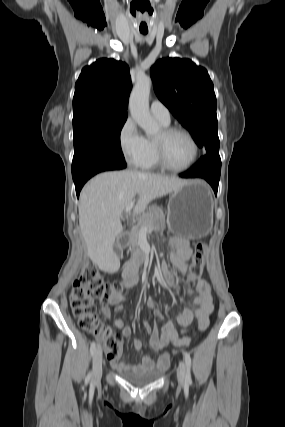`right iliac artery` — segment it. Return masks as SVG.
Here are the masks:
<instances>
[{"mask_svg": "<svg viewBox=\"0 0 285 427\" xmlns=\"http://www.w3.org/2000/svg\"><path fill=\"white\" fill-rule=\"evenodd\" d=\"M95 350H96V343L93 341L91 343V347H90V353H91V355L94 354ZM90 379H91V373H89L88 376L86 377V382H88Z\"/></svg>", "mask_w": 285, "mask_h": 427, "instance_id": "1", "label": "right iliac artery"}]
</instances>
